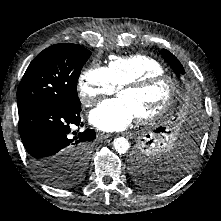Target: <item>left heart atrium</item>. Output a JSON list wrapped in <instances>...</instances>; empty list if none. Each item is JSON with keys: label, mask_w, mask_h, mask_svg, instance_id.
<instances>
[{"label": "left heart atrium", "mask_w": 221, "mask_h": 221, "mask_svg": "<svg viewBox=\"0 0 221 221\" xmlns=\"http://www.w3.org/2000/svg\"><path fill=\"white\" fill-rule=\"evenodd\" d=\"M135 118L129 104L121 98L104 100L90 113V122L106 132L123 130Z\"/></svg>", "instance_id": "39dd6f15"}]
</instances>
